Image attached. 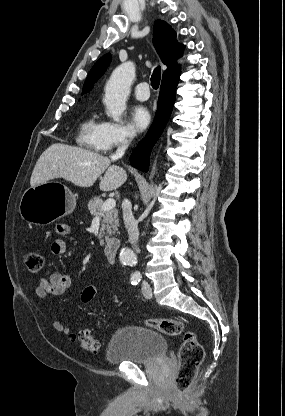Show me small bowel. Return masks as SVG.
Segmentation results:
<instances>
[{"mask_svg": "<svg viewBox=\"0 0 285 416\" xmlns=\"http://www.w3.org/2000/svg\"><path fill=\"white\" fill-rule=\"evenodd\" d=\"M60 234L68 232L66 226L62 225L58 227ZM67 242L63 239H56L51 244V252L55 255L64 254L67 251ZM71 285V278L65 273L55 272L48 278L43 277L38 280V284L35 288V294L42 299L49 297H57L62 295ZM53 328L62 334H68L69 329L61 321L54 319L52 321Z\"/></svg>", "mask_w": 285, "mask_h": 416, "instance_id": "small-bowel-1", "label": "small bowel"}]
</instances>
